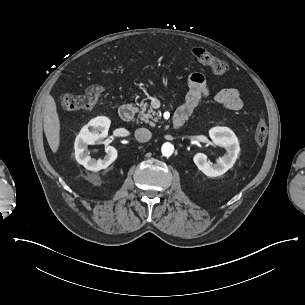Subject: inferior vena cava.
<instances>
[{
	"label": "inferior vena cava",
	"mask_w": 305,
	"mask_h": 305,
	"mask_svg": "<svg viewBox=\"0 0 305 305\" xmlns=\"http://www.w3.org/2000/svg\"><path fill=\"white\" fill-rule=\"evenodd\" d=\"M152 134L151 132L146 128H139L135 131V138L139 142H147L151 139Z\"/></svg>",
	"instance_id": "inferior-vena-cava-1"
}]
</instances>
